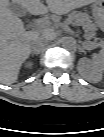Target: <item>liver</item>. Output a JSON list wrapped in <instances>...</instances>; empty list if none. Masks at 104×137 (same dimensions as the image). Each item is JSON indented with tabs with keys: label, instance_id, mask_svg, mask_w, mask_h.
I'll list each match as a JSON object with an SVG mask.
<instances>
[{
	"label": "liver",
	"instance_id": "liver-1",
	"mask_svg": "<svg viewBox=\"0 0 104 137\" xmlns=\"http://www.w3.org/2000/svg\"><path fill=\"white\" fill-rule=\"evenodd\" d=\"M97 0H46L47 7L40 0H12V3L25 8L32 15H42L50 10L57 15H64ZM8 0H1L0 6V82L10 85L18 79L23 62L31 53V43L38 32H26L23 22L14 15ZM45 36L54 37L44 31Z\"/></svg>",
	"mask_w": 104,
	"mask_h": 137
}]
</instances>
